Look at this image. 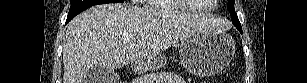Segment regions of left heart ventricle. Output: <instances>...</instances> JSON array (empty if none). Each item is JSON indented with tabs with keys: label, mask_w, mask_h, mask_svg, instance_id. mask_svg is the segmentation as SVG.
Returning <instances> with one entry per match:
<instances>
[{
	"label": "left heart ventricle",
	"mask_w": 307,
	"mask_h": 83,
	"mask_svg": "<svg viewBox=\"0 0 307 83\" xmlns=\"http://www.w3.org/2000/svg\"><path fill=\"white\" fill-rule=\"evenodd\" d=\"M190 2H191V3H194V4L197 6V8H202V9H203V8L208 7V5H206V4H205V5H198V3H202L200 0H199V1L190 0Z\"/></svg>",
	"instance_id": "b2bd125f"
}]
</instances>
